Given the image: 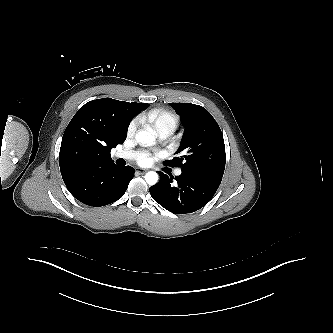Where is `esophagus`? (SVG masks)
<instances>
[{
	"mask_svg": "<svg viewBox=\"0 0 333 333\" xmlns=\"http://www.w3.org/2000/svg\"><path fill=\"white\" fill-rule=\"evenodd\" d=\"M136 173H138V174H145V173H146V170H143V169H136Z\"/></svg>",
	"mask_w": 333,
	"mask_h": 333,
	"instance_id": "esophagus-1",
	"label": "esophagus"
}]
</instances>
